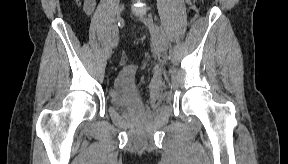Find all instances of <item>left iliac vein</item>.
Wrapping results in <instances>:
<instances>
[{
    "mask_svg": "<svg viewBox=\"0 0 288 164\" xmlns=\"http://www.w3.org/2000/svg\"><path fill=\"white\" fill-rule=\"evenodd\" d=\"M142 22L148 28L150 35H151L152 42L156 46L157 50L160 53H164L167 49V42H166L165 36L160 31L159 27L153 23V20L151 17L142 19Z\"/></svg>",
    "mask_w": 288,
    "mask_h": 164,
    "instance_id": "4c4485c4",
    "label": "left iliac vein"
}]
</instances>
